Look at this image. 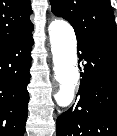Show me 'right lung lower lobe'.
I'll use <instances>...</instances> for the list:
<instances>
[{
	"instance_id": "1",
	"label": "right lung lower lobe",
	"mask_w": 117,
	"mask_h": 136,
	"mask_svg": "<svg viewBox=\"0 0 117 136\" xmlns=\"http://www.w3.org/2000/svg\"><path fill=\"white\" fill-rule=\"evenodd\" d=\"M32 31L0 45V136H23L25 132Z\"/></svg>"
}]
</instances>
